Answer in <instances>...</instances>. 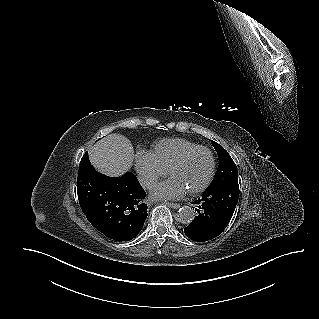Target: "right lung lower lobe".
I'll return each mask as SVG.
<instances>
[{
  "instance_id": "98d812e1",
  "label": "right lung lower lobe",
  "mask_w": 319,
  "mask_h": 319,
  "mask_svg": "<svg viewBox=\"0 0 319 319\" xmlns=\"http://www.w3.org/2000/svg\"><path fill=\"white\" fill-rule=\"evenodd\" d=\"M77 194L88 221L108 238L129 241L141 231L147 217L146 193L134 174L102 175L86 152L79 165Z\"/></svg>"
}]
</instances>
